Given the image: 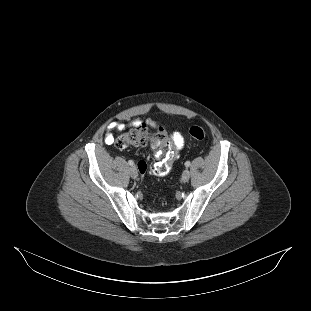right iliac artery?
I'll list each match as a JSON object with an SVG mask.
<instances>
[{
  "label": "right iliac artery",
  "mask_w": 311,
  "mask_h": 311,
  "mask_svg": "<svg viewBox=\"0 0 311 311\" xmlns=\"http://www.w3.org/2000/svg\"><path fill=\"white\" fill-rule=\"evenodd\" d=\"M128 164L131 165V166H133V165H134V162H133L132 160H129V161H128Z\"/></svg>",
  "instance_id": "82829eb1"
}]
</instances>
